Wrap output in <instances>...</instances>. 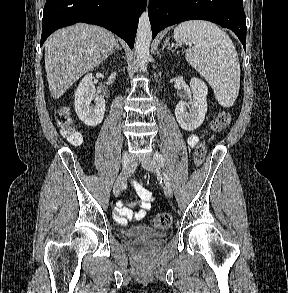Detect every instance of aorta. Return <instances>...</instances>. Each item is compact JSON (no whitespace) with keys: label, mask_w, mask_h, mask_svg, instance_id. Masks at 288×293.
<instances>
[{"label":"aorta","mask_w":288,"mask_h":293,"mask_svg":"<svg viewBox=\"0 0 288 293\" xmlns=\"http://www.w3.org/2000/svg\"><path fill=\"white\" fill-rule=\"evenodd\" d=\"M152 39L151 25L148 13L142 12L139 22L135 41V53L137 64L141 71L147 70L148 61L150 59V43Z\"/></svg>","instance_id":"obj_1"}]
</instances>
